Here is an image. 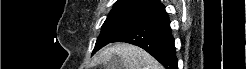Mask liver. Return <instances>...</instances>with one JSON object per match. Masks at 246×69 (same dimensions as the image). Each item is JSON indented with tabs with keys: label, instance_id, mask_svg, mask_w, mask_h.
<instances>
[{
	"label": "liver",
	"instance_id": "1",
	"mask_svg": "<svg viewBox=\"0 0 246 69\" xmlns=\"http://www.w3.org/2000/svg\"><path fill=\"white\" fill-rule=\"evenodd\" d=\"M114 55L119 57L120 63V67L116 69H163L145 50L127 43L107 47L99 54L98 60L107 64Z\"/></svg>",
	"mask_w": 246,
	"mask_h": 69
}]
</instances>
